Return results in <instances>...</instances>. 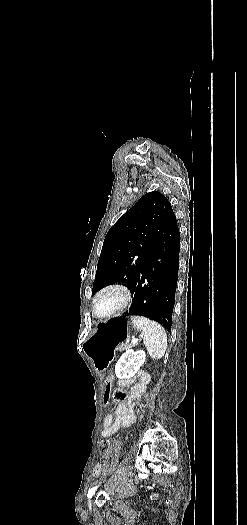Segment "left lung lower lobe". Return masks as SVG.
Masks as SVG:
<instances>
[{
    "instance_id": "left-lung-lower-lobe-1",
    "label": "left lung lower lobe",
    "mask_w": 247,
    "mask_h": 525,
    "mask_svg": "<svg viewBox=\"0 0 247 525\" xmlns=\"http://www.w3.org/2000/svg\"><path fill=\"white\" fill-rule=\"evenodd\" d=\"M179 250V228L174 215L153 239L146 263L130 286L134 299L129 315L155 320L169 332L175 303Z\"/></svg>"
}]
</instances>
